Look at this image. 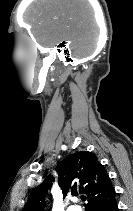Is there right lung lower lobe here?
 I'll return each mask as SVG.
<instances>
[{
    "label": "right lung lower lobe",
    "instance_id": "98d812e1",
    "mask_svg": "<svg viewBox=\"0 0 133 211\" xmlns=\"http://www.w3.org/2000/svg\"><path fill=\"white\" fill-rule=\"evenodd\" d=\"M94 211H118L116 200L110 204L98 206Z\"/></svg>",
    "mask_w": 133,
    "mask_h": 211
}]
</instances>
